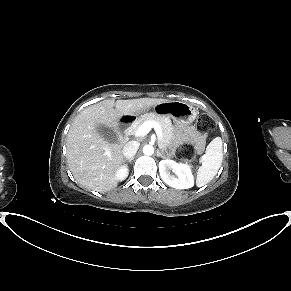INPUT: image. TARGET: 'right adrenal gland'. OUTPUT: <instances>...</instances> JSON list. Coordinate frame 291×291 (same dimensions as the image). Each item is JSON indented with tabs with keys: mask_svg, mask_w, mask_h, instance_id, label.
Here are the masks:
<instances>
[{
	"mask_svg": "<svg viewBox=\"0 0 291 291\" xmlns=\"http://www.w3.org/2000/svg\"><path fill=\"white\" fill-rule=\"evenodd\" d=\"M133 159H134V157H132V158H125L124 160L131 162Z\"/></svg>",
	"mask_w": 291,
	"mask_h": 291,
	"instance_id": "obj_1",
	"label": "right adrenal gland"
}]
</instances>
